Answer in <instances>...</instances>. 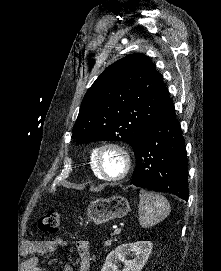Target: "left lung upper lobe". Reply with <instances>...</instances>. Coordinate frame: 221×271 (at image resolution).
I'll return each instance as SVG.
<instances>
[{"instance_id":"obj_1","label":"left lung upper lobe","mask_w":221,"mask_h":271,"mask_svg":"<svg viewBox=\"0 0 221 271\" xmlns=\"http://www.w3.org/2000/svg\"><path fill=\"white\" fill-rule=\"evenodd\" d=\"M172 107L155 66L144 54H130L106 68L87 91L73 135L79 142L118 140L132 146Z\"/></svg>"}]
</instances>
